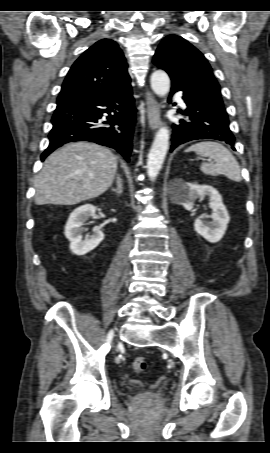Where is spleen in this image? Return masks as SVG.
I'll list each match as a JSON object with an SVG mask.
<instances>
[{
    "mask_svg": "<svg viewBox=\"0 0 270 453\" xmlns=\"http://www.w3.org/2000/svg\"><path fill=\"white\" fill-rule=\"evenodd\" d=\"M185 152H196L214 161V163L201 164L200 170L206 175L217 176L223 174L235 182L242 180L241 169L236 158L225 146L218 142H200L190 146Z\"/></svg>",
    "mask_w": 270,
    "mask_h": 453,
    "instance_id": "3e777b00",
    "label": "spleen"
}]
</instances>
